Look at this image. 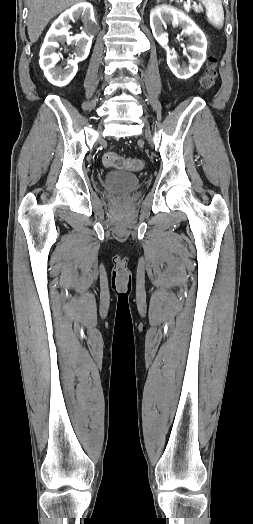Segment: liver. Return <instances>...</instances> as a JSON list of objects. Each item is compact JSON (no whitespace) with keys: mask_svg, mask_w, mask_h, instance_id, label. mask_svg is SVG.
<instances>
[{"mask_svg":"<svg viewBox=\"0 0 253 524\" xmlns=\"http://www.w3.org/2000/svg\"><path fill=\"white\" fill-rule=\"evenodd\" d=\"M85 0H27L28 35L31 42H36L47 23L66 8Z\"/></svg>","mask_w":253,"mask_h":524,"instance_id":"6515ba94","label":"liver"}]
</instances>
